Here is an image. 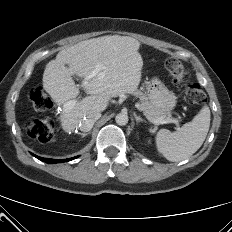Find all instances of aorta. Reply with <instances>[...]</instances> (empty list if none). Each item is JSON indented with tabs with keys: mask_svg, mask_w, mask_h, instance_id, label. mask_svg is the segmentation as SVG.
<instances>
[{
	"mask_svg": "<svg viewBox=\"0 0 232 232\" xmlns=\"http://www.w3.org/2000/svg\"><path fill=\"white\" fill-rule=\"evenodd\" d=\"M115 121L120 126L126 125L128 123V115L125 113H119L116 115Z\"/></svg>",
	"mask_w": 232,
	"mask_h": 232,
	"instance_id": "obj_1",
	"label": "aorta"
}]
</instances>
